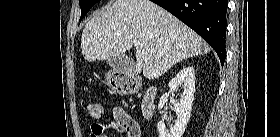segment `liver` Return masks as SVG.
Wrapping results in <instances>:
<instances>
[{"mask_svg": "<svg viewBox=\"0 0 280 137\" xmlns=\"http://www.w3.org/2000/svg\"><path fill=\"white\" fill-rule=\"evenodd\" d=\"M134 43H138L136 47ZM135 46L130 70L148 79L160 77L183 59L206 54L209 45L174 15L150 0H115L85 25V60H107Z\"/></svg>", "mask_w": 280, "mask_h": 137, "instance_id": "liver-1", "label": "liver"}]
</instances>
